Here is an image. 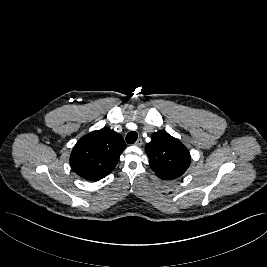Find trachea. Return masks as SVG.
I'll return each mask as SVG.
<instances>
[{
  "mask_svg": "<svg viewBox=\"0 0 267 267\" xmlns=\"http://www.w3.org/2000/svg\"><path fill=\"white\" fill-rule=\"evenodd\" d=\"M138 134L135 131H131L126 135V142L128 144H134L137 140Z\"/></svg>",
  "mask_w": 267,
  "mask_h": 267,
  "instance_id": "1",
  "label": "trachea"
}]
</instances>
